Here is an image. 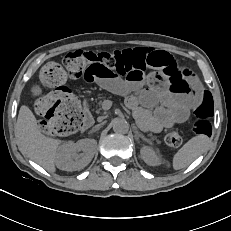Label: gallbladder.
<instances>
[{"label":"gallbladder","instance_id":"obj_1","mask_svg":"<svg viewBox=\"0 0 231 231\" xmlns=\"http://www.w3.org/2000/svg\"><path fill=\"white\" fill-rule=\"evenodd\" d=\"M33 95H39L41 93V89L38 86L32 88Z\"/></svg>","mask_w":231,"mask_h":231}]
</instances>
